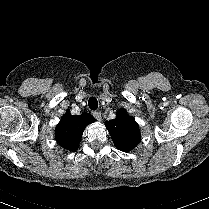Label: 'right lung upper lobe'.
Segmentation results:
<instances>
[{
	"label": "right lung upper lobe",
	"mask_w": 209,
	"mask_h": 209,
	"mask_svg": "<svg viewBox=\"0 0 209 209\" xmlns=\"http://www.w3.org/2000/svg\"><path fill=\"white\" fill-rule=\"evenodd\" d=\"M95 122V118L89 113L74 116L67 112L56 127L55 138L60 146L67 150L78 148L84 128Z\"/></svg>",
	"instance_id": "right-lung-upper-lobe-1"
}]
</instances>
